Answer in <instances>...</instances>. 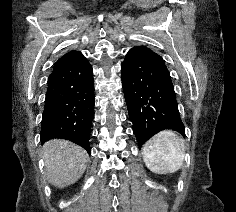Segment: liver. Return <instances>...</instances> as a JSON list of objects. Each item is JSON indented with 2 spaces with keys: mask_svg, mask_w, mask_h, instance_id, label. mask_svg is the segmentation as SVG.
Segmentation results:
<instances>
[{
  "mask_svg": "<svg viewBox=\"0 0 236 212\" xmlns=\"http://www.w3.org/2000/svg\"><path fill=\"white\" fill-rule=\"evenodd\" d=\"M43 158L48 181L55 187L63 188L83 175L89 156L74 143L53 139L44 144Z\"/></svg>",
  "mask_w": 236,
  "mask_h": 212,
  "instance_id": "1",
  "label": "liver"
}]
</instances>
